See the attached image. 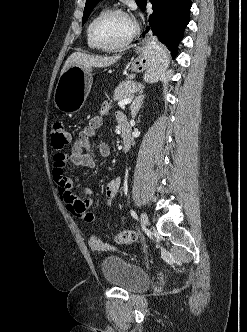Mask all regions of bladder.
Returning <instances> with one entry per match:
<instances>
[{"label":"bladder","mask_w":247,"mask_h":332,"mask_svg":"<svg viewBox=\"0 0 247 332\" xmlns=\"http://www.w3.org/2000/svg\"><path fill=\"white\" fill-rule=\"evenodd\" d=\"M101 270L108 284L130 293L144 291L151 282L149 274L142 267L115 255L102 260Z\"/></svg>","instance_id":"1"}]
</instances>
